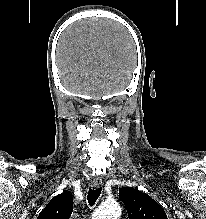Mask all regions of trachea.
<instances>
[{"mask_svg":"<svg viewBox=\"0 0 206 219\" xmlns=\"http://www.w3.org/2000/svg\"><path fill=\"white\" fill-rule=\"evenodd\" d=\"M101 190H102V187L89 188L87 199H88V203L90 206H93L95 204V202L97 201V199L99 198L101 194Z\"/></svg>","mask_w":206,"mask_h":219,"instance_id":"trachea-1","label":"trachea"}]
</instances>
